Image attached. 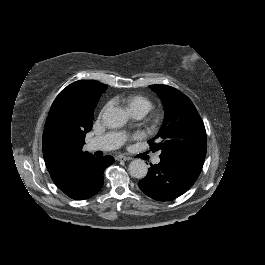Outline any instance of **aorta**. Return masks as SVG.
Returning a JSON list of instances; mask_svg holds the SVG:
<instances>
[{"mask_svg": "<svg viewBox=\"0 0 265 265\" xmlns=\"http://www.w3.org/2000/svg\"><path fill=\"white\" fill-rule=\"evenodd\" d=\"M103 122L110 128H119L128 122L126 112L122 108H109L103 115ZM147 164L142 159H134L129 164L132 177L143 178L147 174Z\"/></svg>", "mask_w": 265, "mask_h": 265, "instance_id": "762f6f07", "label": "aorta"}]
</instances>
